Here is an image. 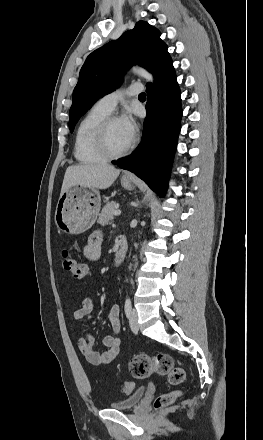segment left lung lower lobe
<instances>
[{"label": "left lung lower lobe", "mask_w": 263, "mask_h": 440, "mask_svg": "<svg viewBox=\"0 0 263 440\" xmlns=\"http://www.w3.org/2000/svg\"><path fill=\"white\" fill-rule=\"evenodd\" d=\"M155 85L147 84V117L138 148L113 162L144 180L160 197L164 196L180 132L181 92L173 62L155 71Z\"/></svg>", "instance_id": "1"}]
</instances>
